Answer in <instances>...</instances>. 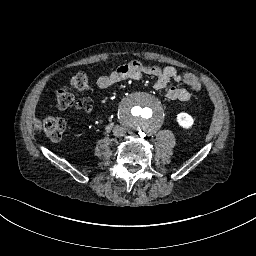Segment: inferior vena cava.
I'll return each instance as SVG.
<instances>
[{"label":"inferior vena cava","instance_id":"1","mask_svg":"<svg viewBox=\"0 0 256 256\" xmlns=\"http://www.w3.org/2000/svg\"><path fill=\"white\" fill-rule=\"evenodd\" d=\"M126 133V129L121 125H115L113 127V134L114 136L121 137Z\"/></svg>","mask_w":256,"mask_h":256}]
</instances>
